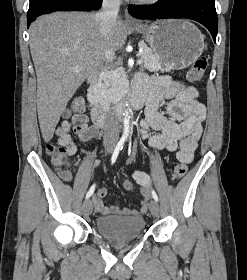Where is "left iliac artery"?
<instances>
[{
  "label": "left iliac artery",
  "instance_id": "left-iliac-artery-1",
  "mask_svg": "<svg viewBox=\"0 0 247 280\" xmlns=\"http://www.w3.org/2000/svg\"><path fill=\"white\" fill-rule=\"evenodd\" d=\"M152 197L154 198V200L156 202H158V196H157V194H156V192L154 190H152Z\"/></svg>",
  "mask_w": 247,
  "mask_h": 280
}]
</instances>
